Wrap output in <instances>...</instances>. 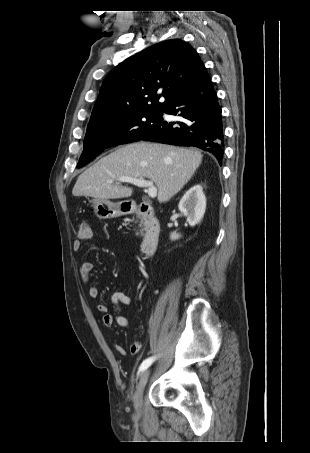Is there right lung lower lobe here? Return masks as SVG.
Masks as SVG:
<instances>
[{
  "mask_svg": "<svg viewBox=\"0 0 310 453\" xmlns=\"http://www.w3.org/2000/svg\"><path fill=\"white\" fill-rule=\"evenodd\" d=\"M162 113L179 120L162 119L140 140L195 146L212 153L221 165L224 153L221 107L205 68L187 89L165 105Z\"/></svg>",
  "mask_w": 310,
  "mask_h": 453,
  "instance_id": "right-lung-lower-lobe-1",
  "label": "right lung lower lobe"
}]
</instances>
